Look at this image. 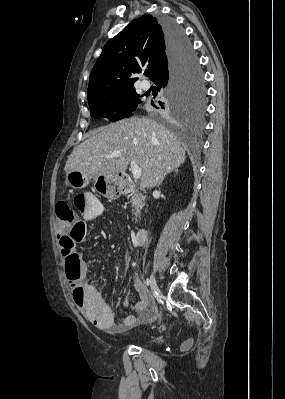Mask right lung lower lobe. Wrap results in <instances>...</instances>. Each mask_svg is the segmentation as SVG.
<instances>
[{"mask_svg":"<svg viewBox=\"0 0 285 399\" xmlns=\"http://www.w3.org/2000/svg\"><path fill=\"white\" fill-rule=\"evenodd\" d=\"M166 39L168 63L154 78L155 83L161 88L169 90L184 76L187 67L193 59L191 43L184 31L171 19L160 21ZM161 106H163L160 103Z\"/></svg>","mask_w":285,"mask_h":399,"instance_id":"obj_1","label":"right lung lower lobe"}]
</instances>
